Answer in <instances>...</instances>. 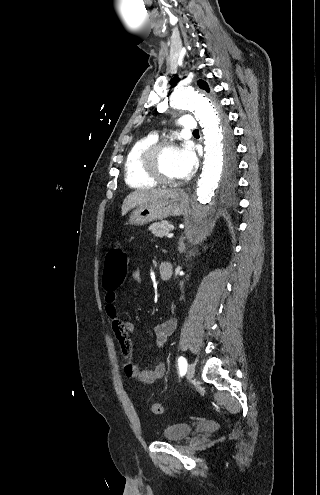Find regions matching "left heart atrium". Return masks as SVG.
<instances>
[{"instance_id":"obj_1","label":"left heart atrium","mask_w":320,"mask_h":495,"mask_svg":"<svg viewBox=\"0 0 320 495\" xmlns=\"http://www.w3.org/2000/svg\"><path fill=\"white\" fill-rule=\"evenodd\" d=\"M178 163L180 169V178L189 176L196 166V156L189 146H183L179 150Z\"/></svg>"}]
</instances>
